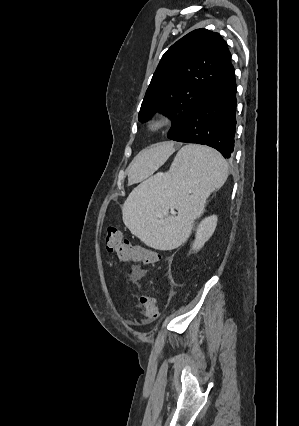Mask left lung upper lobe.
<instances>
[{"label":"left lung upper lobe","mask_w":299,"mask_h":426,"mask_svg":"<svg viewBox=\"0 0 299 426\" xmlns=\"http://www.w3.org/2000/svg\"><path fill=\"white\" fill-rule=\"evenodd\" d=\"M231 66V54L220 34L194 30L162 56L142 102L138 119L148 121L162 112L173 122L172 139L193 110L216 87Z\"/></svg>","instance_id":"left-lung-upper-lobe-1"}]
</instances>
